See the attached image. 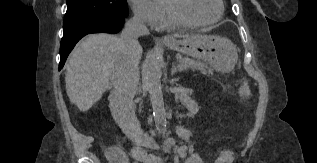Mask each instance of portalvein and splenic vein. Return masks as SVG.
Returning a JSON list of instances; mask_svg holds the SVG:
<instances>
[{
    "label": "portal vein and splenic vein",
    "instance_id": "obj_1",
    "mask_svg": "<svg viewBox=\"0 0 317 163\" xmlns=\"http://www.w3.org/2000/svg\"><path fill=\"white\" fill-rule=\"evenodd\" d=\"M179 68H180V69H184V67H183L182 65H179Z\"/></svg>",
    "mask_w": 317,
    "mask_h": 163
}]
</instances>
